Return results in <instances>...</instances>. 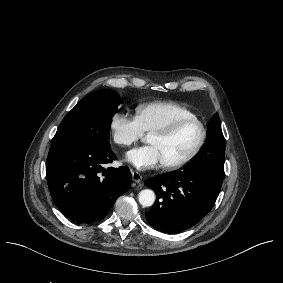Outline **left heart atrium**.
Returning a JSON list of instances; mask_svg holds the SVG:
<instances>
[{"mask_svg":"<svg viewBox=\"0 0 283 283\" xmlns=\"http://www.w3.org/2000/svg\"><path fill=\"white\" fill-rule=\"evenodd\" d=\"M126 159L140 170L156 169L165 164L163 154L156 145L134 148L127 152Z\"/></svg>","mask_w":283,"mask_h":283,"instance_id":"left-heart-atrium-1","label":"left heart atrium"}]
</instances>
